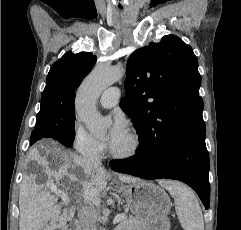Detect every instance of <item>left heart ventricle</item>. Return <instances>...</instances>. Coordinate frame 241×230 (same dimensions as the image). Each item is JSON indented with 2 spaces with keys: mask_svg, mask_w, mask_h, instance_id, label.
<instances>
[{
  "mask_svg": "<svg viewBox=\"0 0 241 230\" xmlns=\"http://www.w3.org/2000/svg\"><path fill=\"white\" fill-rule=\"evenodd\" d=\"M129 146H130V138L127 133L126 136L112 150H114L116 152H123V151L127 150L129 148Z\"/></svg>",
  "mask_w": 241,
  "mask_h": 230,
  "instance_id": "b2bd125f",
  "label": "left heart ventricle"
}]
</instances>
